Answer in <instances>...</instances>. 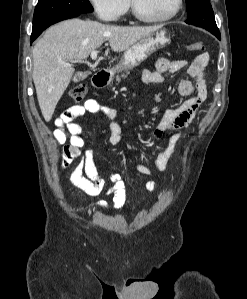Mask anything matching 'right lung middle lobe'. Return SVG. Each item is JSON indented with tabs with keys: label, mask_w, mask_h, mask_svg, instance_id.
<instances>
[{
	"label": "right lung middle lobe",
	"mask_w": 247,
	"mask_h": 299,
	"mask_svg": "<svg viewBox=\"0 0 247 299\" xmlns=\"http://www.w3.org/2000/svg\"><path fill=\"white\" fill-rule=\"evenodd\" d=\"M92 11L88 0H39L34 11L32 35L72 14Z\"/></svg>",
	"instance_id": "obj_1"
}]
</instances>
